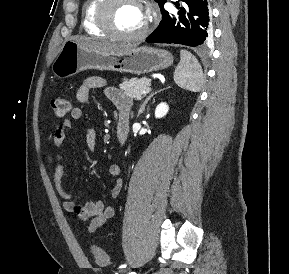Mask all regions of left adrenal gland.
Masks as SVG:
<instances>
[{
    "instance_id": "left-adrenal-gland-1",
    "label": "left adrenal gland",
    "mask_w": 289,
    "mask_h": 274,
    "mask_svg": "<svg viewBox=\"0 0 289 274\" xmlns=\"http://www.w3.org/2000/svg\"><path fill=\"white\" fill-rule=\"evenodd\" d=\"M161 91H163V90H159V91L153 92V93H151V94L145 99V101H144V102L142 103V105L140 106V109H139V112H138V116H140V115L143 113V111L145 110V107H146V105L148 104L149 100H150L154 95H156L157 93H159V92H161Z\"/></svg>"
}]
</instances>
